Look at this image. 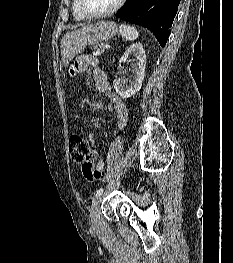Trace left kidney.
Wrapping results in <instances>:
<instances>
[{
  "label": "left kidney",
  "instance_id": "left-kidney-1",
  "mask_svg": "<svg viewBox=\"0 0 233 263\" xmlns=\"http://www.w3.org/2000/svg\"><path fill=\"white\" fill-rule=\"evenodd\" d=\"M130 55H134L137 58L136 63L132 66L135 75L131 85L127 86L126 81L122 79L113 81L116 93L123 99L135 95L141 89L144 80L146 55L143 45L141 43L131 45L121 56L119 63L126 61Z\"/></svg>",
  "mask_w": 233,
  "mask_h": 263
}]
</instances>
